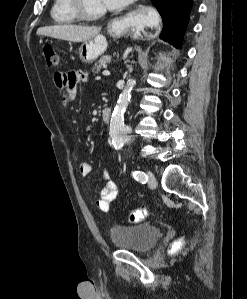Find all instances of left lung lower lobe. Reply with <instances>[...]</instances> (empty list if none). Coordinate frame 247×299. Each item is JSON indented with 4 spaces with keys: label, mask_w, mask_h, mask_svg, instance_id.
<instances>
[{
    "label": "left lung lower lobe",
    "mask_w": 247,
    "mask_h": 299,
    "mask_svg": "<svg viewBox=\"0 0 247 299\" xmlns=\"http://www.w3.org/2000/svg\"><path fill=\"white\" fill-rule=\"evenodd\" d=\"M163 19L161 39L177 48L181 47L192 0H151Z\"/></svg>",
    "instance_id": "0a47b994"
}]
</instances>
